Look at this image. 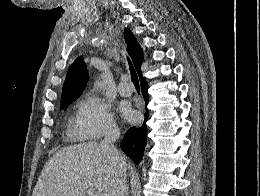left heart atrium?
Wrapping results in <instances>:
<instances>
[{
  "label": "left heart atrium",
  "mask_w": 260,
  "mask_h": 196,
  "mask_svg": "<svg viewBox=\"0 0 260 196\" xmlns=\"http://www.w3.org/2000/svg\"><path fill=\"white\" fill-rule=\"evenodd\" d=\"M123 113L128 120H132L134 118V112L130 108H125ZM122 191L123 190H106V192H122Z\"/></svg>",
  "instance_id": "39dd6f15"
}]
</instances>
